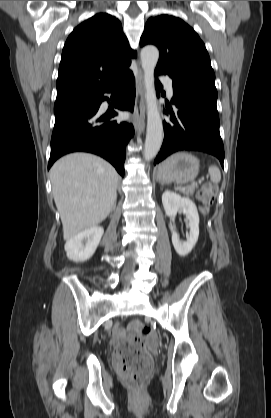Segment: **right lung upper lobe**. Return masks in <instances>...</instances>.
I'll return each mask as SVG.
<instances>
[{
    "label": "right lung upper lobe",
    "instance_id": "1",
    "mask_svg": "<svg viewBox=\"0 0 271 418\" xmlns=\"http://www.w3.org/2000/svg\"><path fill=\"white\" fill-rule=\"evenodd\" d=\"M130 56L136 52L116 17L99 13L82 22L64 45L55 103L98 97L129 70Z\"/></svg>",
    "mask_w": 271,
    "mask_h": 418
}]
</instances>
